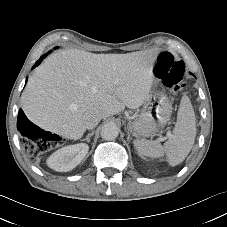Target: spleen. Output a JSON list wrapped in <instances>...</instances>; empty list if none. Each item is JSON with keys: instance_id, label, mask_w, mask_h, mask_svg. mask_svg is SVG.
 Listing matches in <instances>:
<instances>
[{"instance_id": "1", "label": "spleen", "mask_w": 227, "mask_h": 227, "mask_svg": "<svg viewBox=\"0 0 227 227\" xmlns=\"http://www.w3.org/2000/svg\"><path fill=\"white\" fill-rule=\"evenodd\" d=\"M196 137L195 113L187 95L181 99L177 122L169 139L161 145L158 141L135 140L134 146L140 155L160 158L166 155L171 166L183 162L191 151Z\"/></svg>"}]
</instances>
